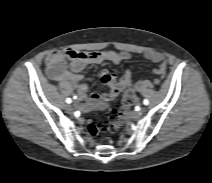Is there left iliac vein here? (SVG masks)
I'll list each match as a JSON object with an SVG mask.
<instances>
[{"mask_svg":"<svg viewBox=\"0 0 212 183\" xmlns=\"http://www.w3.org/2000/svg\"><path fill=\"white\" fill-rule=\"evenodd\" d=\"M145 109H146L145 107H144V108H142V109H141V113H142V112H145Z\"/></svg>","mask_w":212,"mask_h":183,"instance_id":"1","label":"left iliac vein"}]
</instances>
